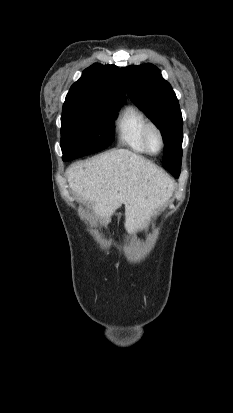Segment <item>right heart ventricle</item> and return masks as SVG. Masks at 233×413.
<instances>
[{"label":"right heart ventricle","mask_w":233,"mask_h":413,"mask_svg":"<svg viewBox=\"0 0 233 413\" xmlns=\"http://www.w3.org/2000/svg\"><path fill=\"white\" fill-rule=\"evenodd\" d=\"M148 122L145 113L138 106L125 107L116 121L119 142L134 152L146 154L142 132Z\"/></svg>","instance_id":"obj_1"}]
</instances>
